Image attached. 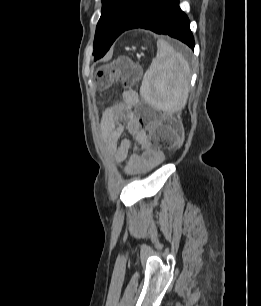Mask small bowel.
<instances>
[{
  "mask_svg": "<svg viewBox=\"0 0 261 306\" xmlns=\"http://www.w3.org/2000/svg\"><path fill=\"white\" fill-rule=\"evenodd\" d=\"M138 103L135 91L123 93L122 100L113 104L104 116L101 135L106 151L118 163L126 162L124 173L136 175L162 163L164 156L156 150L134 115L132 108ZM124 125L130 139L119 140L120 127ZM134 152L128 156L132 146Z\"/></svg>",
  "mask_w": 261,
  "mask_h": 306,
  "instance_id": "small-bowel-1",
  "label": "small bowel"
}]
</instances>
